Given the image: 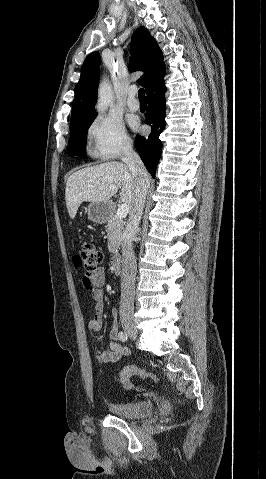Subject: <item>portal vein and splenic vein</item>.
Here are the masks:
<instances>
[{"mask_svg": "<svg viewBox=\"0 0 266 479\" xmlns=\"http://www.w3.org/2000/svg\"><path fill=\"white\" fill-rule=\"evenodd\" d=\"M129 212V207L127 204H122L121 206H119L118 210H117V213H116V216L119 218V219H123L127 216Z\"/></svg>", "mask_w": 266, "mask_h": 479, "instance_id": "portal-vein-and-splenic-vein-1", "label": "portal vein and splenic vein"}]
</instances>
